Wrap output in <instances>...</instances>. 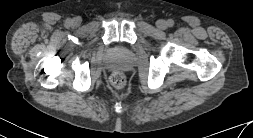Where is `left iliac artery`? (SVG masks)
Masks as SVG:
<instances>
[{
	"label": "left iliac artery",
	"mask_w": 253,
	"mask_h": 138,
	"mask_svg": "<svg viewBox=\"0 0 253 138\" xmlns=\"http://www.w3.org/2000/svg\"><path fill=\"white\" fill-rule=\"evenodd\" d=\"M167 24L169 27H172L174 25V21L172 19H169Z\"/></svg>",
	"instance_id": "obj_1"
}]
</instances>
